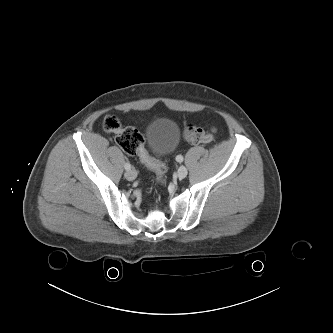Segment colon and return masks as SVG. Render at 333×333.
Listing matches in <instances>:
<instances>
[{
  "label": "colon",
  "instance_id": "1",
  "mask_svg": "<svg viewBox=\"0 0 333 333\" xmlns=\"http://www.w3.org/2000/svg\"><path fill=\"white\" fill-rule=\"evenodd\" d=\"M105 132L114 134L118 146L127 154L138 156L141 162L155 172L159 184L166 182V167L164 164L155 161L147 152L144 146L143 135L133 127L122 128L119 119L114 115H108L103 121ZM215 129L207 131L202 128L188 124L184 127V138L192 143L208 142L212 140Z\"/></svg>",
  "mask_w": 333,
  "mask_h": 333
}]
</instances>
